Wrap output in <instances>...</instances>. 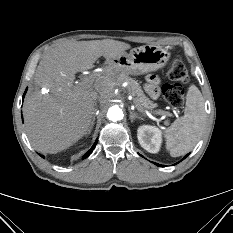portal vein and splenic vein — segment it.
<instances>
[{
  "label": "portal vein and splenic vein",
  "mask_w": 233,
  "mask_h": 233,
  "mask_svg": "<svg viewBox=\"0 0 233 233\" xmlns=\"http://www.w3.org/2000/svg\"><path fill=\"white\" fill-rule=\"evenodd\" d=\"M92 83H93V79H92V77H84L83 79H82V81L78 84L81 88H83V89H88V88H90L91 87V85H92ZM140 111H144L143 109H139ZM154 114H156V115H162V116H165L166 114H165V112H163V111H159V112H155Z\"/></svg>",
  "instance_id": "obj_1"
}]
</instances>
